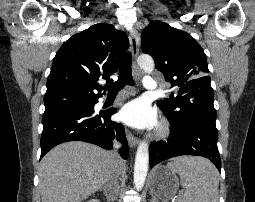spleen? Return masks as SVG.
<instances>
[{
    "label": "spleen",
    "instance_id": "spleen-1",
    "mask_svg": "<svg viewBox=\"0 0 255 202\" xmlns=\"http://www.w3.org/2000/svg\"><path fill=\"white\" fill-rule=\"evenodd\" d=\"M177 173L184 188L178 202H218L219 172L207 159L180 157L167 164Z\"/></svg>",
    "mask_w": 255,
    "mask_h": 202
}]
</instances>
